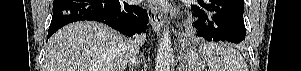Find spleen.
Segmentation results:
<instances>
[{
	"label": "spleen",
	"instance_id": "1",
	"mask_svg": "<svg viewBox=\"0 0 301 71\" xmlns=\"http://www.w3.org/2000/svg\"><path fill=\"white\" fill-rule=\"evenodd\" d=\"M199 52L208 62L209 71H248L242 55L223 43L209 42L200 46Z\"/></svg>",
	"mask_w": 301,
	"mask_h": 71
}]
</instances>
